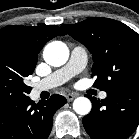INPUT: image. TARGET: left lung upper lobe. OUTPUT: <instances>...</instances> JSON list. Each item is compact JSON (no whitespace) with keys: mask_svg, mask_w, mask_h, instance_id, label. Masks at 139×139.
<instances>
[{"mask_svg":"<svg viewBox=\"0 0 139 139\" xmlns=\"http://www.w3.org/2000/svg\"><path fill=\"white\" fill-rule=\"evenodd\" d=\"M61 27L92 53L94 85L101 90L111 93L139 82V34L134 30L109 18H88Z\"/></svg>","mask_w":139,"mask_h":139,"instance_id":"left-lung-upper-lobe-1","label":"left lung upper lobe"}]
</instances>
